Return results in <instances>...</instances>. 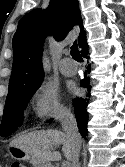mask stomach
<instances>
[{"label": "stomach", "mask_w": 125, "mask_h": 167, "mask_svg": "<svg viewBox=\"0 0 125 167\" xmlns=\"http://www.w3.org/2000/svg\"><path fill=\"white\" fill-rule=\"evenodd\" d=\"M9 154L15 160L30 161L33 167H52L48 162L35 158L21 148L15 146L9 147Z\"/></svg>", "instance_id": "0dacf381"}]
</instances>
